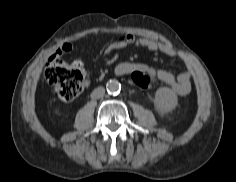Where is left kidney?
Wrapping results in <instances>:
<instances>
[{"instance_id":"1","label":"left kidney","mask_w":236,"mask_h":182,"mask_svg":"<svg viewBox=\"0 0 236 182\" xmlns=\"http://www.w3.org/2000/svg\"><path fill=\"white\" fill-rule=\"evenodd\" d=\"M177 104L178 97L173 90L168 87L157 89L155 93L154 105L161 114L173 111Z\"/></svg>"}]
</instances>
